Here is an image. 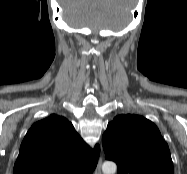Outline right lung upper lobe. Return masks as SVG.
<instances>
[{"instance_id":"1","label":"right lung upper lobe","mask_w":187,"mask_h":174,"mask_svg":"<svg viewBox=\"0 0 187 174\" xmlns=\"http://www.w3.org/2000/svg\"><path fill=\"white\" fill-rule=\"evenodd\" d=\"M100 148L91 150L64 117L52 114L27 132L14 174H91Z\"/></svg>"}]
</instances>
